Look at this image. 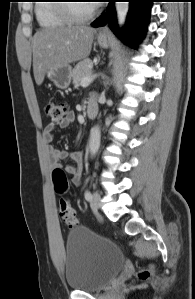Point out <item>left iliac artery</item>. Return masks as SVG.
<instances>
[{
    "instance_id": "44dca946",
    "label": "left iliac artery",
    "mask_w": 195,
    "mask_h": 299,
    "mask_svg": "<svg viewBox=\"0 0 195 299\" xmlns=\"http://www.w3.org/2000/svg\"><path fill=\"white\" fill-rule=\"evenodd\" d=\"M84 196H85V199H86L87 201H90V200L92 199V194H91V192L88 191V190L85 191Z\"/></svg>"
}]
</instances>
